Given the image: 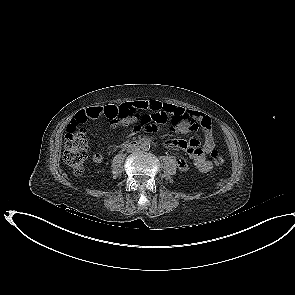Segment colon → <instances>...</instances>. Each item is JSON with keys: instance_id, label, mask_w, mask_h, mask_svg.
<instances>
[{"instance_id": "1", "label": "colon", "mask_w": 295, "mask_h": 295, "mask_svg": "<svg viewBox=\"0 0 295 295\" xmlns=\"http://www.w3.org/2000/svg\"><path fill=\"white\" fill-rule=\"evenodd\" d=\"M135 114L136 110L129 105H109L103 107V116L117 126L128 125ZM165 119L166 116L163 113L145 116L135 125L134 131L145 130L147 132H155L157 125L163 123ZM64 148L63 160L65 164L75 174H81L84 170V163L87 157V139L84 129L78 128L77 126H68ZM211 158L217 166H221L225 162V157L217 150L211 152Z\"/></svg>"}]
</instances>
